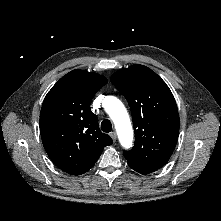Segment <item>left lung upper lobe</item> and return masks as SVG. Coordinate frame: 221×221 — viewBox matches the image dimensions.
Segmentation results:
<instances>
[{
    "instance_id": "1",
    "label": "left lung upper lobe",
    "mask_w": 221,
    "mask_h": 221,
    "mask_svg": "<svg viewBox=\"0 0 221 221\" xmlns=\"http://www.w3.org/2000/svg\"><path fill=\"white\" fill-rule=\"evenodd\" d=\"M110 80L126 98L133 119L135 144L124 157L156 171L169 160L178 139L180 121L172 92L154 71L139 64L115 72Z\"/></svg>"
}]
</instances>
